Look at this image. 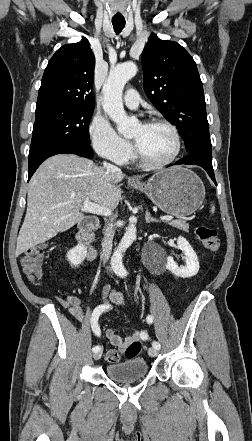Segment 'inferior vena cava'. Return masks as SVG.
Returning <instances> with one entry per match:
<instances>
[{
	"label": "inferior vena cava",
	"mask_w": 252,
	"mask_h": 441,
	"mask_svg": "<svg viewBox=\"0 0 252 441\" xmlns=\"http://www.w3.org/2000/svg\"><path fill=\"white\" fill-rule=\"evenodd\" d=\"M104 168L107 172H121L120 168H118L115 165H112L110 163L104 162L103 163ZM113 223L107 222L105 228H104V237L102 240V257L103 261L107 262L111 256L112 252V242H113V236H114V230H113Z\"/></svg>",
	"instance_id": "obj_1"
}]
</instances>
